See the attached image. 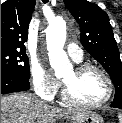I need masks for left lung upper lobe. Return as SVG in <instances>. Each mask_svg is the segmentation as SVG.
I'll return each instance as SVG.
<instances>
[{
    "label": "left lung upper lobe",
    "mask_w": 122,
    "mask_h": 123,
    "mask_svg": "<svg viewBox=\"0 0 122 123\" xmlns=\"http://www.w3.org/2000/svg\"><path fill=\"white\" fill-rule=\"evenodd\" d=\"M80 26L83 47L104 67L115 85L114 100H122V63L108 15L87 0H64Z\"/></svg>",
    "instance_id": "5c2ea615"
}]
</instances>
